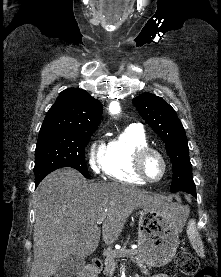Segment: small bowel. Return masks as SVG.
Returning a JSON list of instances; mask_svg holds the SVG:
<instances>
[{"label":"small bowel","instance_id":"c3829d8e","mask_svg":"<svg viewBox=\"0 0 221 277\" xmlns=\"http://www.w3.org/2000/svg\"><path fill=\"white\" fill-rule=\"evenodd\" d=\"M154 277H170V276L167 275V274H158V275H156V276H154Z\"/></svg>","mask_w":221,"mask_h":277}]
</instances>
